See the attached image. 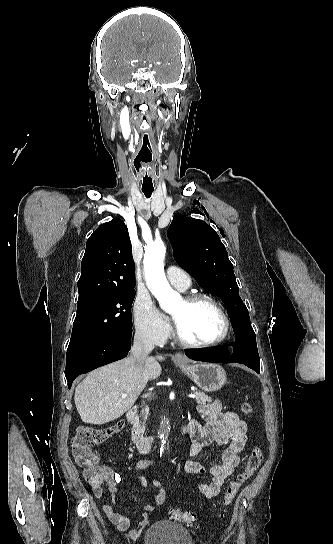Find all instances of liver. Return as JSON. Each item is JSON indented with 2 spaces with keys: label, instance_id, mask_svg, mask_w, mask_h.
Instances as JSON below:
<instances>
[{
  "label": "liver",
  "instance_id": "obj_1",
  "mask_svg": "<svg viewBox=\"0 0 333 544\" xmlns=\"http://www.w3.org/2000/svg\"><path fill=\"white\" fill-rule=\"evenodd\" d=\"M161 355L148 358L143 367L132 353L125 359L90 372L75 389V405L84 423L102 425L121 417L136 402L148 380L162 372ZM126 394V397H122Z\"/></svg>",
  "mask_w": 333,
  "mask_h": 544
}]
</instances>
